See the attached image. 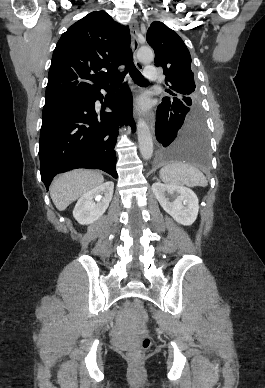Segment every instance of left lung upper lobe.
<instances>
[{
  "mask_svg": "<svg viewBox=\"0 0 265 388\" xmlns=\"http://www.w3.org/2000/svg\"><path fill=\"white\" fill-rule=\"evenodd\" d=\"M146 39L154 49L155 65L162 67L166 75V91L171 95L166 98H175L189 108L201 109L191 70V56L183 40L175 31L159 21L150 25Z\"/></svg>",
  "mask_w": 265,
  "mask_h": 388,
  "instance_id": "1",
  "label": "left lung upper lobe"
}]
</instances>
